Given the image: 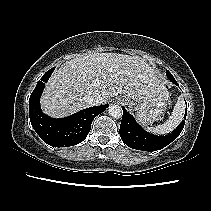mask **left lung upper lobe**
<instances>
[{
  "instance_id": "left-lung-upper-lobe-1",
  "label": "left lung upper lobe",
  "mask_w": 211,
  "mask_h": 211,
  "mask_svg": "<svg viewBox=\"0 0 211 211\" xmlns=\"http://www.w3.org/2000/svg\"><path fill=\"white\" fill-rule=\"evenodd\" d=\"M166 75L170 80H172L173 76L169 71H166Z\"/></svg>"
}]
</instances>
